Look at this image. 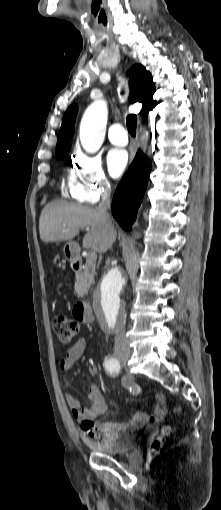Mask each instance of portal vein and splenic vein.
Masks as SVG:
<instances>
[{
	"label": "portal vein and splenic vein",
	"mask_w": 221,
	"mask_h": 510,
	"mask_svg": "<svg viewBox=\"0 0 221 510\" xmlns=\"http://www.w3.org/2000/svg\"><path fill=\"white\" fill-rule=\"evenodd\" d=\"M97 255L95 252L91 251L86 255V261L87 263L93 264L96 262Z\"/></svg>",
	"instance_id": "obj_1"
}]
</instances>
